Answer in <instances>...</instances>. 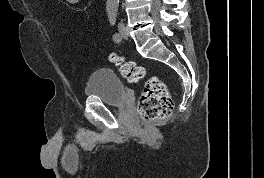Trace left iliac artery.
Returning <instances> with one entry per match:
<instances>
[{
	"mask_svg": "<svg viewBox=\"0 0 264 178\" xmlns=\"http://www.w3.org/2000/svg\"><path fill=\"white\" fill-rule=\"evenodd\" d=\"M108 16H109V21L111 25H114L116 22V18H117V11L116 10H111L108 12ZM113 40L115 42H119L121 40V37L118 33H114L113 35Z\"/></svg>",
	"mask_w": 264,
	"mask_h": 178,
	"instance_id": "obj_1",
	"label": "left iliac artery"
}]
</instances>
